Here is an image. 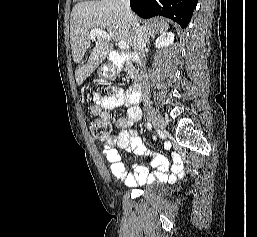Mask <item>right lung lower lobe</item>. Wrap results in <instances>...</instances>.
<instances>
[{"label": "right lung lower lobe", "mask_w": 257, "mask_h": 237, "mask_svg": "<svg viewBox=\"0 0 257 237\" xmlns=\"http://www.w3.org/2000/svg\"><path fill=\"white\" fill-rule=\"evenodd\" d=\"M198 0H130L131 9L142 18L164 16L181 28L189 24Z\"/></svg>", "instance_id": "1"}]
</instances>
